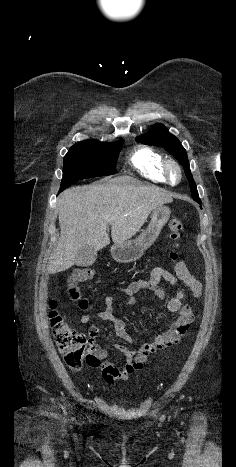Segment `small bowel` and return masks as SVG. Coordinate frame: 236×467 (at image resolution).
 Instances as JSON below:
<instances>
[{
  "instance_id": "small-bowel-1",
  "label": "small bowel",
  "mask_w": 236,
  "mask_h": 467,
  "mask_svg": "<svg viewBox=\"0 0 236 467\" xmlns=\"http://www.w3.org/2000/svg\"><path fill=\"white\" fill-rule=\"evenodd\" d=\"M162 280L172 286H177L179 283L184 284L196 298L202 295L203 287L201 282L190 273L185 261L181 260L176 263L174 273L163 267H155L147 279H137L124 286L111 287L109 294L104 299L102 311L95 314L92 312L93 306L89 305L86 309L87 313L80 318V322L88 324L94 318L110 321L114 324L117 337L128 344H134L136 340L128 331L126 323L114 315L115 296H126L128 305H133L136 302L135 296L144 290H150L157 298L164 299L166 293L161 285ZM184 299V291L178 289L168 300L167 309L177 314V319L171 324L168 331L158 335L153 341L143 343L136 351L123 344H115V348L127 358L126 364L121 368L115 367L112 362L107 360V351L96 341L100 330L97 326L92 325L88 330L89 353L87 355V364L92 368L99 369L106 383L110 384L116 380H128L133 374L142 370L150 354L176 344L189 330L194 317L190 306L183 304Z\"/></svg>"
}]
</instances>
